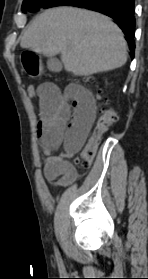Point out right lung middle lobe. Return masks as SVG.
<instances>
[{
	"label": "right lung middle lobe",
	"instance_id": "1",
	"mask_svg": "<svg viewBox=\"0 0 148 279\" xmlns=\"http://www.w3.org/2000/svg\"><path fill=\"white\" fill-rule=\"evenodd\" d=\"M49 0H24L22 5V10L26 12H35L48 2Z\"/></svg>",
	"mask_w": 148,
	"mask_h": 279
}]
</instances>
